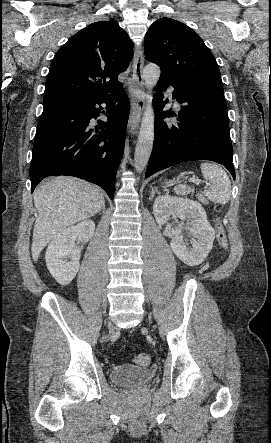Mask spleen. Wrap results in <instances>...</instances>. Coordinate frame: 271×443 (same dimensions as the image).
Returning <instances> with one entry per match:
<instances>
[{
    "mask_svg": "<svg viewBox=\"0 0 271 443\" xmlns=\"http://www.w3.org/2000/svg\"><path fill=\"white\" fill-rule=\"evenodd\" d=\"M201 172L205 180H209L210 186L204 190L203 194L207 196L210 202L214 204H227L231 196V182L225 170L217 164H201ZM177 196H188L192 190L190 186H175Z\"/></svg>",
    "mask_w": 271,
    "mask_h": 443,
    "instance_id": "3e777b00",
    "label": "spleen"
}]
</instances>
